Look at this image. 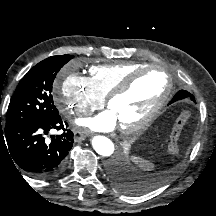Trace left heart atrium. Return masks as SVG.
Listing matches in <instances>:
<instances>
[{
	"label": "left heart atrium",
	"instance_id": "left-heart-atrium-1",
	"mask_svg": "<svg viewBox=\"0 0 216 216\" xmlns=\"http://www.w3.org/2000/svg\"><path fill=\"white\" fill-rule=\"evenodd\" d=\"M76 124L92 131L108 132L115 128L117 122L111 110L104 111L90 118H79Z\"/></svg>",
	"mask_w": 216,
	"mask_h": 216
}]
</instances>
